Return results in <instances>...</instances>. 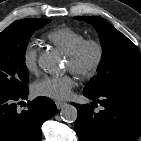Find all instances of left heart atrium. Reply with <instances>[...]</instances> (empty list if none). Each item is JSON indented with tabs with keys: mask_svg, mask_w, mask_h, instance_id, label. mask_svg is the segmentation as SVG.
I'll return each mask as SVG.
<instances>
[{
	"mask_svg": "<svg viewBox=\"0 0 141 141\" xmlns=\"http://www.w3.org/2000/svg\"><path fill=\"white\" fill-rule=\"evenodd\" d=\"M74 84L73 78L69 75L59 77L44 76L33 84L32 91L38 96L64 100L69 97Z\"/></svg>",
	"mask_w": 141,
	"mask_h": 141,
	"instance_id": "left-heart-atrium-1",
	"label": "left heart atrium"
}]
</instances>
